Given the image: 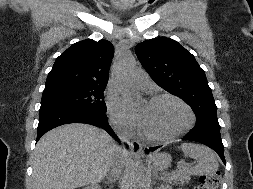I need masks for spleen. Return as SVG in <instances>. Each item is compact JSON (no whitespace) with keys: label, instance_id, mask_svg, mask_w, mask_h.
<instances>
[{"label":"spleen","instance_id":"1","mask_svg":"<svg viewBox=\"0 0 253 189\" xmlns=\"http://www.w3.org/2000/svg\"><path fill=\"white\" fill-rule=\"evenodd\" d=\"M184 153L197 161V164L191 168L184 167L192 175H208L218 170L219 164L215 152L204 145L194 143H182L179 147Z\"/></svg>","mask_w":253,"mask_h":189}]
</instances>
